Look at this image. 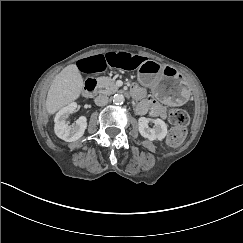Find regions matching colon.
Segmentation results:
<instances>
[{
	"label": "colon",
	"mask_w": 243,
	"mask_h": 243,
	"mask_svg": "<svg viewBox=\"0 0 243 243\" xmlns=\"http://www.w3.org/2000/svg\"><path fill=\"white\" fill-rule=\"evenodd\" d=\"M168 116L173 127L167 136V143L175 147L180 145L186 137V126L189 122V116L187 112L182 109H172L169 111Z\"/></svg>",
	"instance_id": "5ec220e1"
}]
</instances>
